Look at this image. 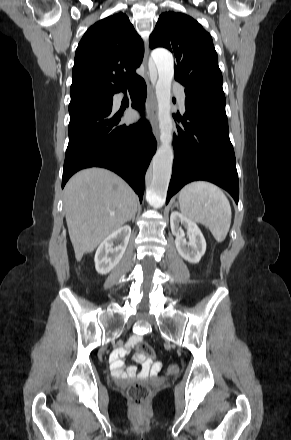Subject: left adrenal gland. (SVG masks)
Segmentation results:
<instances>
[{"mask_svg": "<svg viewBox=\"0 0 291 440\" xmlns=\"http://www.w3.org/2000/svg\"><path fill=\"white\" fill-rule=\"evenodd\" d=\"M175 206L178 207V203L177 202L175 203Z\"/></svg>", "mask_w": 291, "mask_h": 440, "instance_id": "1", "label": "left adrenal gland"}]
</instances>
